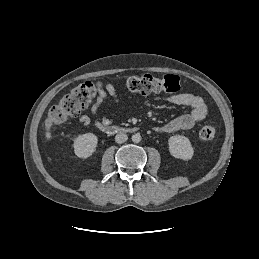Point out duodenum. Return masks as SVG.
Returning a JSON list of instances; mask_svg holds the SVG:
<instances>
[{
    "label": "duodenum",
    "mask_w": 259,
    "mask_h": 259,
    "mask_svg": "<svg viewBox=\"0 0 259 259\" xmlns=\"http://www.w3.org/2000/svg\"><path fill=\"white\" fill-rule=\"evenodd\" d=\"M102 130L106 133H121V132H133L136 131V128H122L118 126H104L102 127Z\"/></svg>",
    "instance_id": "410a0bca"
}]
</instances>
